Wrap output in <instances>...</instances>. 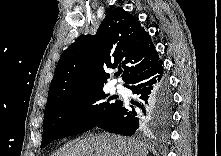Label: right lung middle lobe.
I'll list each match as a JSON object with an SVG mask.
<instances>
[{"label": "right lung middle lobe", "instance_id": "right-lung-middle-lobe-1", "mask_svg": "<svg viewBox=\"0 0 221 156\" xmlns=\"http://www.w3.org/2000/svg\"><path fill=\"white\" fill-rule=\"evenodd\" d=\"M107 96L103 89L79 90L47 107L41 147L65 136L84 133L107 119L122 102L110 103L105 101Z\"/></svg>", "mask_w": 221, "mask_h": 156}]
</instances>
